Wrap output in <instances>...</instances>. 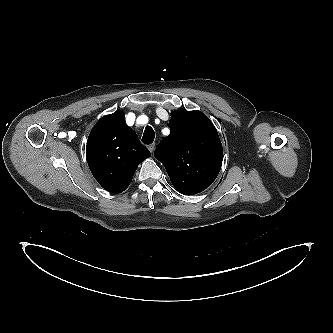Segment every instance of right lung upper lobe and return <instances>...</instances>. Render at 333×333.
I'll return each instance as SVG.
<instances>
[{
    "label": "right lung upper lobe",
    "instance_id": "obj_1",
    "mask_svg": "<svg viewBox=\"0 0 333 333\" xmlns=\"http://www.w3.org/2000/svg\"><path fill=\"white\" fill-rule=\"evenodd\" d=\"M150 156L136 132L126 124L121 110L102 117L88 137L89 168L98 183L109 192H123L138 165Z\"/></svg>",
    "mask_w": 333,
    "mask_h": 333
}]
</instances>
